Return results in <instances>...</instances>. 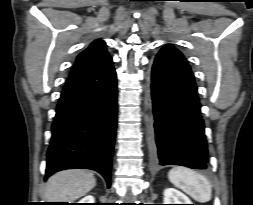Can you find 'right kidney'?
<instances>
[{
  "mask_svg": "<svg viewBox=\"0 0 253 205\" xmlns=\"http://www.w3.org/2000/svg\"><path fill=\"white\" fill-rule=\"evenodd\" d=\"M78 203H95V198L91 195H87L82 198Z\"/></svg>",
  "mask_w": 253,
  "mask_h": 205,
  "instance_id": "right-kidney-1",
  "label": "right kidney"
}]
</instances>
